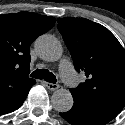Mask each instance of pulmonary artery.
Masks as SVG:
<instances>
[{
  "label": "pulmonary artery",
  "instance_id": "obj_1",
  "mask_svg": "<svg viewBox=\"0 0 125 125\" xmlns=\"http://www.w3.org/2000/svg\"><path fill=\"white\" fill-rule=\"evenodd\" d=\"M59 72L62 80L68 87H74L78 83L77 75L69 61H61L59 65Z\"/></svg>",
  "mask_w": 125,
  "mask_h": 125
}]
</instances>
